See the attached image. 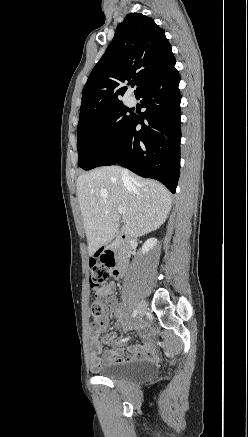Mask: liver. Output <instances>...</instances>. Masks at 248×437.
Listing matches in <instances>:
<instances>
[{"mask_svg":"<svg viewBox=\"0 0 248 437\" xmlns=\"http://www.w3.org/2000/svg\"><path fill=\"white\" fill-rule=\"evenodd\" d=\"M122 170L105 166L80 175L76 181L90 256L115 237L118 207L126 210L122 231L131 238L159 228L171 210V195L162 184L128 170L124 178Z\"/></svg>","mask_w":248,"mask_h":437,"instance_id":"6515ba94","label":"liver"}]
</instances>
